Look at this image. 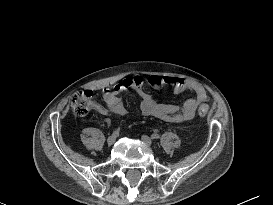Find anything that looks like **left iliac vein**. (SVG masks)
<instances>
[{
	"label": "left iliac vein",
	"mask_w": 273,
	"mask_h": 205,
	"mask_svg": "<svg viewBox=\"0 0 273 205\" xmlns=\"http://www.w3.org/2000/svg\"><path fill=\"white\" fill-rule=\"evenodd\" d=\"M141 139L145 144H147L149 146L152 144L151 138L148 137L147 135H142Z\"/></svg>",
	"instance_id": "4c4485c4"
}]
</instances>
